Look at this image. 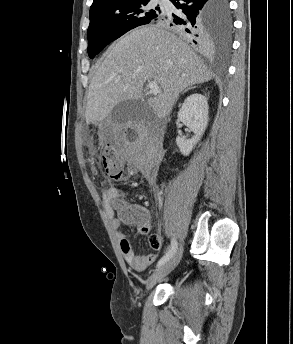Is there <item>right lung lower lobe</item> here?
<instances>
[{
  "instance_id": "98d812e1",
  "label": "right lung lower lobe",
  "mask_w": 293,
  "mask_h": 344,
  "mask_svg": "<svg viewBox=\"0 0 293 344\" xmlns=\"http://www.w3.org/2000/svg\"><path fill=\"white\" fill-rule=\"evenodd\" d=\"M179 13L163 16V21L187 40L195 43L199 48L210 51L214 47V40L219 35L214 25V5L216 0H170ZM232 22L229 29L230 45ZM219 45V44H218Z\"/></svg>"
}]
</instances>
